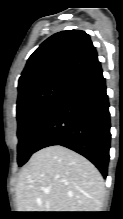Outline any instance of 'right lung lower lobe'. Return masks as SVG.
<instances>
[{"label": "right lung lower lobe", "mask_w": 123, "mask_h": 219, "mask_svg": "<svg viewBox=\"0 0 123 219\" xmlns=\"http://www.w3.org/2000/svg\"><path fill=\"white\" fill-rule=\"evenodd\" d=\"M110 113L99 61L73 76L42 129L35 152L53 145L67 147L89 159L107 176Z\"/></svg>", "instance_id": "1"}]
</instances>
